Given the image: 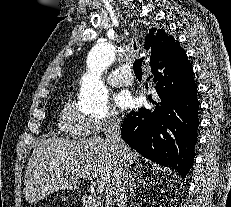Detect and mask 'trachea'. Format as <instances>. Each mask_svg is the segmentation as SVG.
Masks as SVG:
<instances>
[{
    "label": "trachea",
    "instance_id": "3493384b",
    "mask_svg": "<svg viewBox=\"0 0 231 207\" xmlns=\"http://www.w3.org/2000/svg\"><path fill=\"white\" fill-rule=\"evenodd\" d=\"M134 49H136V44H134ZM144 58L137 59L133 63V70L136 75V77H142V63Z\"/></svg>",
    "mask_w": 231,
    "mask_h": 207
}]
</instances>
